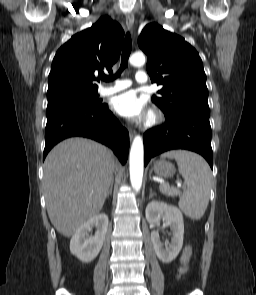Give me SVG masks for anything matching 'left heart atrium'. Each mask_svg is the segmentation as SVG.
I'll return each instance as SVG.
<instances>
[{"instance_id": "1", "label": "left heart atrium", "mask_w": 256, "mask_h": 295, "mask_svg": "<svg viewBox=\"0 0 256 295\" xmlns=\"http://www.w3.org/2000/svg\"><path fill=\"white\" fill-rule=\"evenodd\" d=\"M113 108L121 116L138 120L145 113V101L135 91H127L114 99Z\"/></svg>"}]
</instances>
